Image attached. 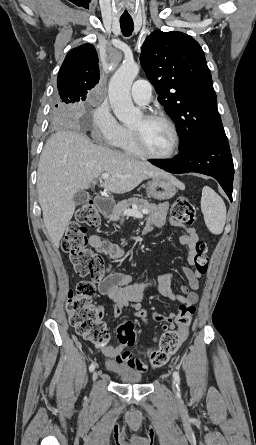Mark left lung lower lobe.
Returning <instances> with one entry per match:
<instances>
[{
  "label": "left lung lower lobe",
  "mask_w": 256,
  "mask_h": 445,
  "mask_svg": "<svg viewBox=\"0 0 256 445\" xmlns=\"http://www.w3.org/2000/svg\"><path fill=\"white\" fill-rule=\"evenodd\" d=\"M170 173L197 172L214 177L232 200L234 165L225 134L202 136L180 150L174 159H152Z\"/></svg>",
  "instance_id": "1"
}]
</instances>
